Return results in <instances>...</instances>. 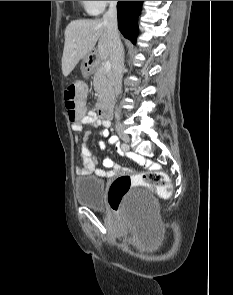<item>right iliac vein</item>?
<instances>
[{
  "label": "right iliac vein",
  "instance_id": "obj_1",
  "mask_svg": "<svg viewBox=\"0 0 233 295\" xmlns=\"http://www.w3.org/2000/svg\"><path fill=\"white\" fill-rule=\"evenodd\" d=\"M117 133L119 137L126 143L128 144L130 142V137L129 135L121 128L117 127ZM127 146V145H126ZM128 149V146L126 147V150Z\"/></svg>",
  "mask_w": 233,
  "mask_h": 295
}]
</instances>
